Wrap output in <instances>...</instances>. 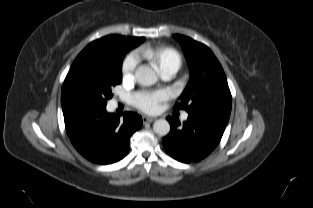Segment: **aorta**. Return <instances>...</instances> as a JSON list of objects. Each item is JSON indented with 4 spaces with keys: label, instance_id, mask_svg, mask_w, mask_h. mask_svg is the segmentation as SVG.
I'll use <instances>...</instances> for the list:
<instances>
[{
    "label": "aorta",
    "instance_id": "obj_1",
    "mask_svg": "<svg viewBox=\"0 0 313 208\" xmlns=\"http://www.w3.org/2000/svg\"><path fill=\"white\" fill-rule=\"evenodd\" d=\"M135 77L137 82L143 86L154 85L158 80L155 71L146 65H141L136 69ZM153 130L157 135L166 136L170 132V124L165 119L156 120L153 124Z\"/></svg>",
    "mask_w": 313,
    "mask_h": 208
}]
</instances>
